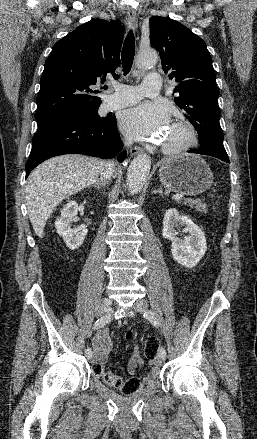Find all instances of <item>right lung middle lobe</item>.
Wrapping results in <instances>:
<instances>
[{"label":"right lung middle lobe","mask_w":257,"mask_h":439,"mask_svg":"<svg viewBox=\"0 0 257 439\" xmlns=\"http://www.w3.org/2000/svg\"><path fill=\"white\" fill-rule=\"evenodd\" d=\"M98 108H99V106L92 107V108H86V109H80V110L74 111V112L69 113V114L84 116V117L90 118V119H92L94 121H98V122L107 120L108 119L107 117L101 118L97 114Z\"/></svg>","instance_id":"dd1d6c3e"}]
</instances>
